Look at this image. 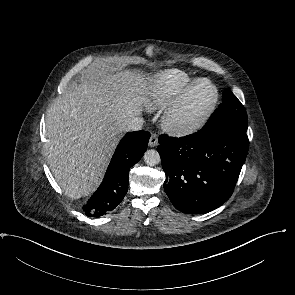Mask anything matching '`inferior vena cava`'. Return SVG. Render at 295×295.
<instances>
[{
    "instance_id": "602c4592",
    "label": "inferior vena cava",
    "mask_w": 295,
    "mask_h": 295,
    "mask_svg": "<svg viewBox=\"0 0 295 295\" xmlns=\"http://www.w3.org/2000/svg\"><path fill=\"white\" fill-rule=\"evenodd\" d=\"M143 123L144 121L142 118L134 117L124 126L123 130L126 132L141 130Z\"/></svg>"
}]
</instances>
